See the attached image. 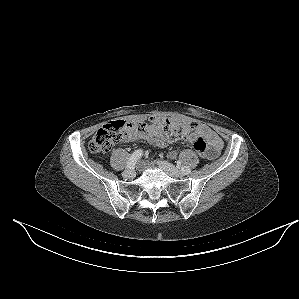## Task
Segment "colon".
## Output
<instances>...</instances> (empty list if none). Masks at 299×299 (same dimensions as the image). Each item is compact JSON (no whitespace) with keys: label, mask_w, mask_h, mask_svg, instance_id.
<instances>
[{"label":"colon","mask_w":299,"mask_h":299,"mask_svg":"<svg viewBox=\"0 0 299 299\" xmlns=\"http://www.w3.org/2000/svg\"><path fill=\"white\" fill-rule=\"evenodd\" d=\"M158 124L164 132L171 133L179 138H187L194 128L193 123L174 122L167 118H160ZM147 124L131 123L124 120H114L103 125L89 142V150L94 154H106L115 144L122 141L126 133L136 128L145 130ZM194 149L205 159H208V144L202 137H198L193 143Z\"/></svg>","instance_id":"colon-1"}]
</instances>
